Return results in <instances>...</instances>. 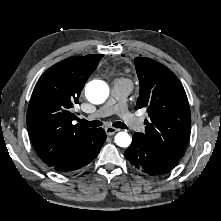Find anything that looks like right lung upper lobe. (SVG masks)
<instances>
[{
  "mask_svg": "<svg viewBox=\"0 0 221 221\" xmlns=\"http://www.w3.org/2000/svg\"><path fill=\"white\" fill-rule=\"evenodd\" d=\"M103 54L62 60L38 80L27 112V128L39 157L53 167L83 148L94 129L74 125L72 108Z\"/></svg>",
  "mask_w": 221,
  "mask_h": 221,
  "instance_id": "right-lung-upper-lobe-1",
  "label": "right lung upper lobe"
}]
</instances>
